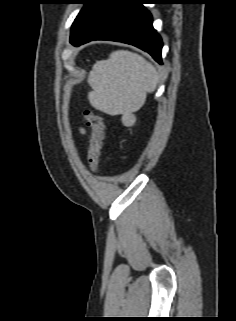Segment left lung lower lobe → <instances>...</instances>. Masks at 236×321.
<instances>
[{"label": "left lung lower lobe", "instance_id": "left-lung-lower-lobe-1", "mask_svg": "<svg viewBox=\"0 0 236 321\" xmlns=\"http://www.w3.org/2000/svg\"><path fill=\"white\" fill-rule=\"evenodd\" d=\"M150 0H93L75 35L74 46L92 40H111L134 45L162 64V40L143 6Z\"/></svg>", "mask_w": 236, "mask_h": 321}]
</instances>
